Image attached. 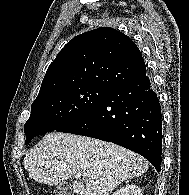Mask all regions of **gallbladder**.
I'll use <instances>...</instances> for the list:
<instances>
[{
    "label": "gallbladder",
    "instance_id": "obj_1",
    "mask_svg": "<svg viewBox=\"0 0 189 195\" xmlns=\"http://www.w3.org/2000/svg\"><path fill=\"white\" fill-rule=\"evenodd\" d=\"M57 190L61 195H73L71 184L68 182L59 183Z\"/></svg>",
    "mask_w": 189,
    "mask_h": 195
}]
</instances>
